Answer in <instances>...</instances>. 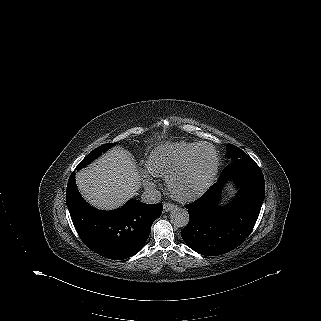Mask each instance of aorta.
<instances>
[{"instance_id":"aorta-1","label":"aorta","mask_w":321,"mask_h":321,"mask_svg":"<svg viewBox=\"0 0 321 321\" xmlns=\"http://www.w3.org/2000/svg\"><path fill=\"white\" fill-rule=\"evenodd\" d=\"M170 218L172 224L179 228L187 226L190 219L187 209L181 207H176L175 209H173Z\"/></svg>"}]
</instances>
